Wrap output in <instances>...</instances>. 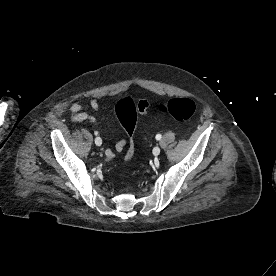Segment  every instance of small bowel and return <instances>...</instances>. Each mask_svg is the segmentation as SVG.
I'll return each mask as SVG.
<instances>
[{"label":"small bowel","instance_id":"1","mask_svg":"<svg viewBox=\"0 0 276 276\" xmlns=\"http://www.w3.org/2000/svg\"><path fill=\"white\" fill-rule=\"evenodd\" d=\"M91 108L94 110H97L101 107V100L98 98L91 99L88 104H82V103H74L70 107V111L72 113L71 115V121L74 123L78 122H85L88 121L92 123L93 125L99 127L97 119L93 116L90 115L86 112L87 108ZM126 140H121L115 145V149H106L105 155L108 159H111L115 156V152H121L125 145H126Z\"/></svg>","mask_w":276,"mask_h":276}]
</instances>
